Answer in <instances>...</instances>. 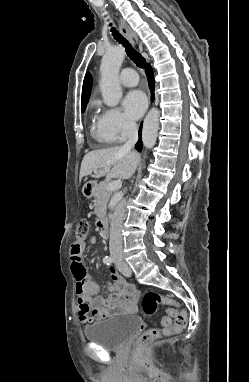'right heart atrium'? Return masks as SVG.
Masks as SVG:
<instances>
[{"instance_id": "d8ad5b80", "label": "right heart atrium", "mask_w": 249, "mask_h": 382, "mask_svg": "<svg viewBox=\"0 0 249 382\" xmlns=\"http://www.w3.org/2000/svg\"><path fill=\"white\" fill-rule=\"evenodd\" d=\"M98 122L104 134L113 142H120L131 136L137 129L136 123L118 108H105Z\"/></svg>"}]
</instances>
